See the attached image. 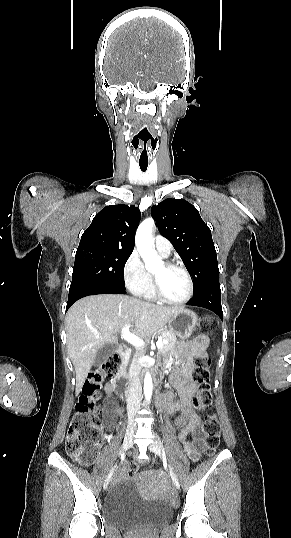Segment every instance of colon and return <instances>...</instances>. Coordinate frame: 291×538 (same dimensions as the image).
<instances>
[{
  "label": "colon",
  "mask_w": 291,
  "mask_h": 538,
  "mask_svg": "<svg viewBox=\"0 0 291 538\" xmlns=\"http://www.w3.org/2000/svg\"><path fill=\"white\" fill-rule=\"evenodd\" d=\"M214 327L211 317H204L198 324V329L204 333ZM119 352H113L102 365L92 371L84 382L82 393L76 405V414L69 426L66 437L68 454L82 464H90L97 454L101 429L99 425L100 408L97 401L101 395V383L106 377L115 376L121 364ZM210 360L206 355H198L194 359L193 381L198 387L195 404L203 409L213 406L210 388ZM205 446L208 455H212L220 444V425L216 414H207L204 418ZM136 466L128 468L129 475H134Z\"/></svg>",
  "instance_id": "colon-1"
}]
</instances>
